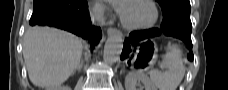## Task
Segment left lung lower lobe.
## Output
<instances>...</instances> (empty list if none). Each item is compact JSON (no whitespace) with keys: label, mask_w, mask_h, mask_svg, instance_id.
I'll return each instance as SVG.
<instances>
[{"label":"left lung lower lobe","mask_w":228,"mask_h":90,"mask_svg":"<svg viewBox=\"0 0 228 90\" xmlns=\"http://www.w3.org/2000/svg\"><path fill=\"white\" fill-rule=\"evenodd\" d=\"M162 32L167 36H172L179 38L182 40L189 49L188 60H193V53H192V41H191V27H186L184 25H176V24H164L161 25ZM161 34L159 29H149L144 31H136L129 34L127 41L124 43V48L121 54V60L127 57V54L131 52L130 50V42H137L149 37L158 36ZM130 41V42H129Z\"/></svg>","instance_id":"0a47b994"}]
</instances>
